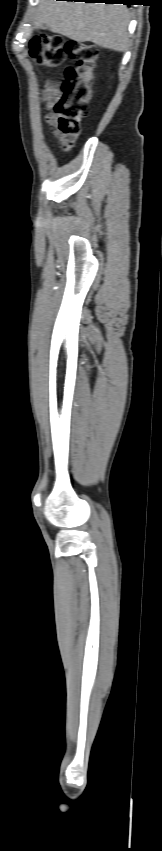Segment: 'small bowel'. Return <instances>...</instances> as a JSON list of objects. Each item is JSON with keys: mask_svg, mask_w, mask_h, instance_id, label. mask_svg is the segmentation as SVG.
Here are the masks:
<instances>
[{"mask_svg": "<svg viewBox=\"0 0 162 851\" xmlns=\"http://www.w3.org/2000/svg\"><path fill=\"white\" fill-rule=\"evenodd\" d=\"M60 94L61 91L56 84L50 82H47L45 84L42 92V97L48 110H50L53 105L58 101ZM45 120L51 126L53 136L59 140L60 147L65 151L70 150L74 143L58 131L56 126L55 114L49 111L45 116Z\"/></svg>", "mask_w": 162, "mask_h": 851, "instance_id": "obj_1", "label": "small bowel"}]
</instances>
